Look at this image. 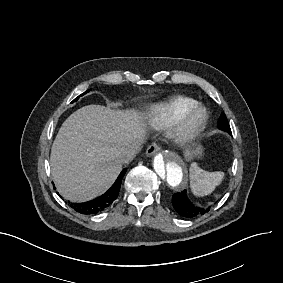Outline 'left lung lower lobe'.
Instances as JSON below:
<instances>
[{"instance_id":"left-lung-lower-lobe-1","label":"left lung lower lobe","mask_w":283,"mask_h":283,"mask_svg":"<svg viewBox=\"0 0 283 283\" xmlns=\"http://www.w3.org/2000/svg\"><path fill=\"white\" fill-rule=\"evenodd\" d=\"M218 128L220 130H223L229 134H231V129L229 126V123L227 121V118L224 113L221 114L219 120H218ZM172 204L175 210L181 215L186 218H192L196 217L199 214L203 215L205 212L209 211V207L204 208H198L194 206L187 197V191L184 190L180 193H175L172 197Z\"/></svg>"}]
</instances>
